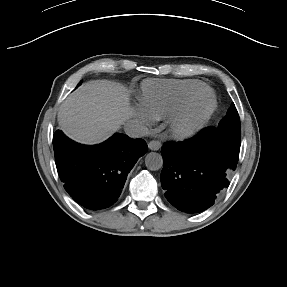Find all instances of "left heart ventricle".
I'll use <instances>...</instances> for the list:
<instances>
[{"label":"left heart ventricle","instance_id":"left-heart-ventricle-1","mask_svg":"<svg viewBox=\"0 0 287 287\" xmlns=\"http://www.w3.org/2000/svg\"><path fill=\"white\" fill-rule=\"evenodd\" d=\"M210 98L207 95H202L193 103L190 109V117L194 118L201 115L209 106Z\"/></svg>","mask_w":287,"mask_h":287}]
</instances>
